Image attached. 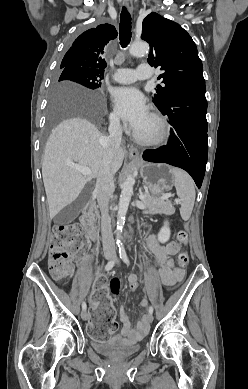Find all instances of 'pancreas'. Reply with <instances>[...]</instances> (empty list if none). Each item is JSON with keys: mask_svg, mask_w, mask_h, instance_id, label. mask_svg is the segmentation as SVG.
Returning <instances> with one entry per match:
<instances>
[{"mask_svg": "<svg viewBox=\"0 0 248 389\" xmlns=\"http://www.w3.org/2000/svg\"><path fill=\"white\" fill-rule=\"evenodd\" d=\"M144 199L142 202L149 208L151 212L156 213H165V214H173L175 212V208L172 206V203L168 199H161L157 197H153L149 192H144Z\"/></svg>", "mask_w": 248, "mask_h": 389, "instance_id": "1", "label": "pancreas"}]
</instances>
